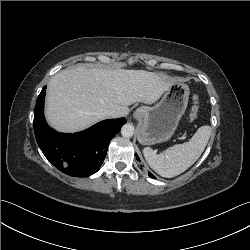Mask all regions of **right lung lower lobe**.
<instances>
[{"instance_id":"obj_1","label":"right lung lower lobe","mask_w":250,"mask_h":250,"mask_svg":"<svg viewBox=\"0 0 250 250\" xmlns=\"http://www.w3.org/2000/svg\"><path fill=\"white\" fill-rule=\"evenodd\" d=\"M46 87L38 96L34 110V132L45 157L61 172L74 177L96 173L103 163L110 140L118 133L125 118L101 121L75 133H58L50 128L43 115Z\"/></svg>"}]
</instances>
